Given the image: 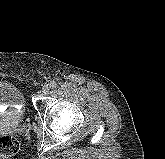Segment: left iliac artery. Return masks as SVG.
<instances>
[{"instance_id":"left-iliac-artery-1","label":"left iliac artery","mask_w":165,"mask_h":159,"mask_svg":"<svg viewBox=\"0 0 165 159\" xmlns=\"http://www.w3.org/2000/svg\"><path fill=\"white\" fill-rule=\"evenodd\" d=\"M57 86V83L55 82V81H52L51 83H50V87L51 88H55Z\"/></svg>"}]
</instances>
